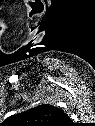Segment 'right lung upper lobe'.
<instances>
[{"instance_id":"cb5924a9","label":"right lung upper lobe","mask_w":95,"mask_h":126,"mask_svg":"<svg viewBox=\"0 0 95 126\" xmlns=\"http://www.w3.org/2000/svg\"><path fill=\"white\" fill-rule=\"evenodd\" d=\"M8 122L15 126H70V117L60 108L44 104L10 116Z\"/></svg>"}]
</instances>
